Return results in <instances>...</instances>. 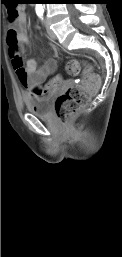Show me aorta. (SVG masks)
Segmentation results:
<instances>
[{
  "instance_id": "1",
  "label": "aorta",
  "mask_w": 122,
  "mask_h": 257,
  "mask_svg": "<svg viewBox=\"0 0 122 257\" xmlns=\"http://www.w3.org/2000/svg\"><path fill=\"white\" fill-rule=\"evenodd\" d=\"M36 12L43 13L44 12V4H36Z\"/></svg>"
}]
</instances>
